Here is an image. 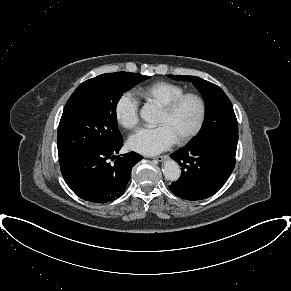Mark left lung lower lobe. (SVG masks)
I'll use <instances>...</instances> for the list:
<instances>
[{
    "label": "left lung lower lobe",
    "instance_id": "1",
    "mask_svg": "<svg viewBox=\"0 0 291 291\" xmlns=\"http://www.w3.org/2000/svg\"><path fill=\"white\" fill-rule=\"evenodd\" d=\"M237 142L238 133L222 132L171 154L182 167L180 178L169 185L172 193L188 200L215 194L234 169Z\"/></svg>",
    "mask_w": 291,
    "mask_h": 291
}]
</instances>
